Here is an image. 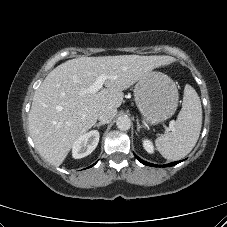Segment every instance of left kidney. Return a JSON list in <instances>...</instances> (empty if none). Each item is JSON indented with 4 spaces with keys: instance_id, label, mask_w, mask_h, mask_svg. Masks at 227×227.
Returning a JSON list of instances; mask_svg holds the SVG:
<instances>
[{
    "instance_id": "5707ae66",
    "label": "left kidney",
    "mask_w": 227,
    "mask_h": 227,
    "mask_svg": "<svg viewBox=\"0 0 227 227\" xmlns=\"http://www.w3.org/2000/svg\"><path fill=\"white\" fill-rule=\"evenodd\" d=\"M143 147L144 149L148 152V153H153L154 152V146L152 144V142L148 139H143Z\"/></svg>"
}]
</instances>
